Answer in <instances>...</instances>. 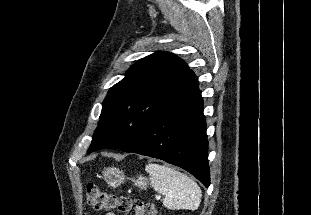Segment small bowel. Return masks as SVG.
Returning a JSON list of instances; mask_svg holds the SVG:
<instances>
[{"mask_svg": "<svg viewBox=\"0 0 311 215\" xmlns=\"http://www.w3.org/2000/svg\"><path fill=\"white\" fill-rule=\"evenodd\" d=\"M106 215H116V214L113 212H108Z\"/></svg>", "mask_w": 311, "mask_h": 215, "instance_id": "obj_1", "label": "small bowel"}]
</instances>
